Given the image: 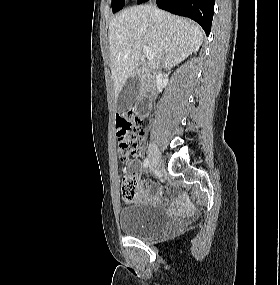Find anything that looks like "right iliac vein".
Here are the masks:
<instances>
[{
	"label": "right iliac vein",
	"mask_w": 280,
	"mask_h": 285,
	"mask_svg": "<svg viewBox=\"0 0 280 285\" xmlns=\"http://www.w3.org/2000/svg\"><path fill=\"white\" fill-rule=\"evenodd\" d=\"M150 168L153 172L160 171L163 168L159 150L155 143L150 145Z\"/></svg>",
	"instance_id": "63e3f726"
}]
</instances>
